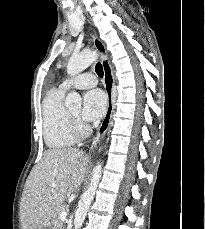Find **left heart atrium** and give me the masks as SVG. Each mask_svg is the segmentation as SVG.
Here are the masks:
<instances>
[{"label":"left heart atrium","mask_w":205,"mask_h":229,"mask_svg":"<svg viewBox=\"0 0 205 229\" xmlns=\"http://www.w3.org/2000/svg\"><path fill=\"white\" fill-rule=\"evenodd\" d=\"M107 109V97L100 89H93L84 95L82 117L92 122L101 118Z\"/></svg>","instance_id":"1"}]
</instances>
